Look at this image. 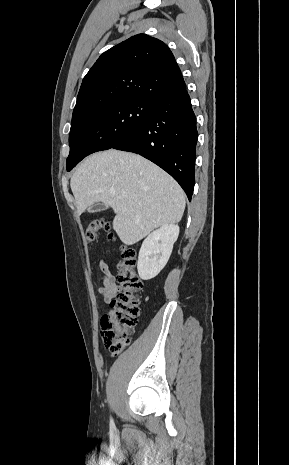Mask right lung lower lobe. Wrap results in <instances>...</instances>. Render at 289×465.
<instances>
[{"label":"right lung lower lobe","instance_id":"right-lung-lower-lobe-1","mask_svg":"<svg viewBox=\"0 0 289 465\" xmlns=\"http://www.w3.org/2000/svg\"><path fill=\"white\" fill-rule=\"evenodd\" d=\"M196 117L186 88L154 101L152 115L111 148L134 152L169 173L189 201L195 183Z\"/></svg>","mask_w":289,"mask_h":465}]
</instances>
